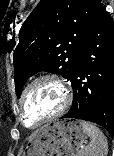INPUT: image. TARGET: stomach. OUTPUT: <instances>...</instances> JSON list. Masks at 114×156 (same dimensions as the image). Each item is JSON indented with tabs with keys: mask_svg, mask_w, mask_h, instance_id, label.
<instances>
[{
	"mask_svg": "<svg viewBox=\"0 0 114 156\" xmlns=\"http://www.w3.org/2000/svg\"><path fill=\"white\" fill-rule=\"evenodd\" d=\"M80 122L66 119L44 125L29 138L23 156H79L86 139Z\"/></svg>",
	"mask_w": 114,
	"mask_h": 156,
	"instance_id": "0dacf381",
	"label": "stomach"
}]
</instances>
